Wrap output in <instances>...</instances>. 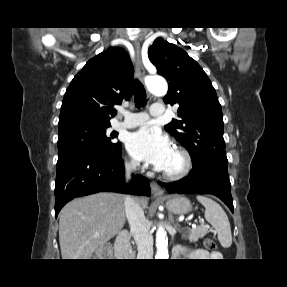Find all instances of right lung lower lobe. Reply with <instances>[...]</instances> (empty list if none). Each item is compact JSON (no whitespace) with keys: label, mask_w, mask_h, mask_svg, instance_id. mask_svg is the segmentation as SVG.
I'll list each match as a JSON object with an SVG mask.
<instances>
[{"label":"right lung lower lobe","mask_w":287,"mask_h":287,"mask_svg":"<svg viewBox=\"0 0 287 287\" xmlns=\"http://www.w3.org/2000/svg\"><path fill=\"white\" fill-rule=\"evenodd\" d=\"M122 153L114 158L89 154H70L57 161L55 184V215L75 197L98 192H118L150 196L149 180L133 176L131 184L124 183Z\"/></svg>","instance_id":"right-lung-lower-lobe-1"}]
</instances>
